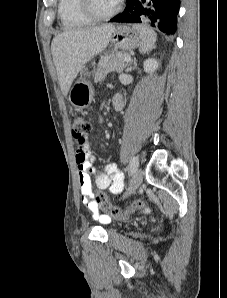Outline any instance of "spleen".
Masks as SVG:
<instances>
[{"label": "spleen", "instance_id": "obj_1", "mask_svg": "<svg viewBox=\"0 0 227 298\" xmlns=\"http://www.w3.org/2000/svg\"><path fill=\"white\" fill-rule=\"evenodd\" d=\"M141 35L140 52L145 53L155 45L157 34L153 29L143 25H134Z\"/></svg>", "mask_w": 227, "mask_h": 298}]
</instances>
